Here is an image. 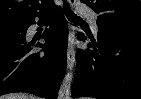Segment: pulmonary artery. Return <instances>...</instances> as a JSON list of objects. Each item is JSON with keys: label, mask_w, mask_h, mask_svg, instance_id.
I'll use <instances>...</instances> for the list:
<instances>
[{"label": "pulmonary artery", "mask_w": 141, "mask_h": 99, "mask_svg": "<svg viewBox=\"0 0 141 99\" xmlns=\"http://www.w3.org/2000/svg\"><path fill=\"white\" fill-rule=\"evenodd\" d=\"M81 13L87 17L92 25V29L95 33H98V26H97V14L89 9H82Z\"/></svg>", "instance_id": "e3ab8cb5"}]
</instances>
